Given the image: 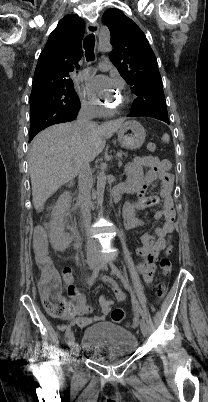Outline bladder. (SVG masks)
Here are the masks:
<instances>
[{
  "label": "bladder",
  "instance_id": "1",
  "mask_svg": "<svg viewBox=\"0 0 208 402\" xmlns=\"http://www.w3.org/2000/svg\"><path fill=\"white\" fill-rule=\"evenodd\" d=\"M82 348H87L96 361L118 364L137 346L133 332L113 323H96L84 330Z\"/></svg>",
  "mask_w": 208,
  "mask_h": 402
}]
</instances>
